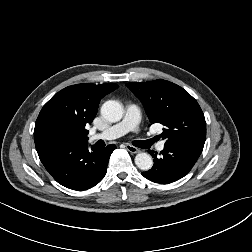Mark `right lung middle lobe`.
<instances>
[{
  "label": "right lung middle lobe",
  "mask_w": 252,
  "mask_h": 252,
  "mask_svg": "<svg viewBox=\"0 0 252 252\" xmlns=\"http://www.w3.org/2000/svg\"><path fill=\"white\" fill-rule=\"evenodd\" d=\"M65 140H66V139L57 140V141L55 142V144L58 143V142H61V141H65Z\"/></svg>",
  "instance_id": "obj_1"
}]
</instances>
